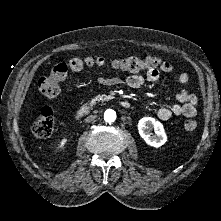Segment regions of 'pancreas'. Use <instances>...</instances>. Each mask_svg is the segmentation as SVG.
Wrapping results in <instances>:
<instances>
[{"instance_id":"pancreas-1","label":"pancreas","mask_w":221,"mask_h":221,"mask_svg":"<svg viewBox=\"0 0 221 221\" xmlns=\"http://www.w3.org/2000/svg\"><path fill=\"white\" fill-rule=\"evenodd\" d=\"M112 98H113V96H111V95H105V94L97 95L96 97H94L90 101V104L94 105L96 102H104V101H108Z\"/></svg>"}]
</instances>
